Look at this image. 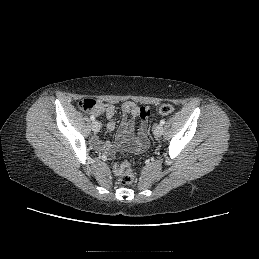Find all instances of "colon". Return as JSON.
Masks as SVG:
<instances>
[{
    "label": "colon",
    "mask_w": 259,
    "mask_h": 259,
    "mask_svg": "<svg viewBox=\"0 0 259 259\" xmlns=\"http://www.w3.org/2000/svg\"><path fill=\"white\" fill-rule=\"evenodd\" d=\"M104 104L93 99H84L79 106L84 111H94L103 107ZM174 111V107L170 104H163L158 108V113L161 115H169ZM150 109L148 107H140V116L148 118ZM113 171L119 177V181L123 185H130L134 181V174L131 168V163L128 160L121 163L113 164Z\"/></svg>",
    "instance_id": "obj_1"
}]
</instances>
